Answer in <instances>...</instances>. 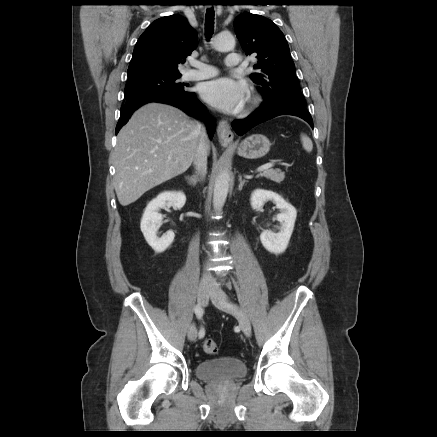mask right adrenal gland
<instances>
[{
	"label": "right adrenal gland",
	"instance_id": "1",
	"mask_svg": "<svg viewBox=\"0 0 437 437\" xmlns=\"http://www.w3.org/2000/svg\"><path fill=\"white\" fill-rule=\"evenodd\" d=\"M185 179L192 186H195L197 184V182L199 181L198 174L193 175V176H186Z\"/></svg>",
	"mask_w": 437,
	"mask_h": 437
}]
</instances>
